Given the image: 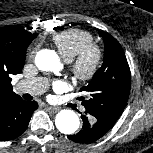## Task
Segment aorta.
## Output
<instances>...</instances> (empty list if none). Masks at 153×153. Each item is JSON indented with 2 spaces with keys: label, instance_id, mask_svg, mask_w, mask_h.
I'll return each mask as SVG.
<instances>
[{
  "label": "aorta",
  "instance_id": "obj_1",
  "mask_svg": "<svg viewBox=\"0 0 153 153\" xmlns=\"http://www.w3.org/2000/svg\"><path fill=\"white\" fill-rule=\"evenodd\" d=\"M35 64L40 70L56 71L60 67L58 55L51 50H41L37 53ZM57 129L63 134H73L80 126L78 115L72 110H61L55 118Z\"/></svg>",
  "mask_w": 153,
  "mask_h": 153
}]
</instances>
